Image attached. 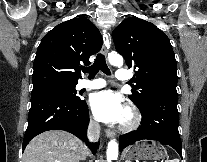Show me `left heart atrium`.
I'll use <instances>...</instances> for the list:
<instances>
[{
	"label": "left heart atrium",
	"mask_w": 207,
	"mask_h": 162,
	"mask_svg": "<svg viewBox=\"0 0 207 162\" xmlns=\"http://www.w3.org/2000/svg\"><path fill=\"white\" fill-rule=\"evenodd\" d=\"M90 107L97 120L107 123L120 122L126 111L123 98L112 90L94 93Z\"/></svg>",
	"instance_id": "1"
}]
</instances>
